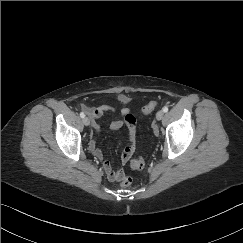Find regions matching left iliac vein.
I'll return each instance as SVG.
<instances>
[{"instance_id":"1","label":"left iliac vein","mask_w":243,"mask_h":243,"mask_svg":"<svg viewBox=\"0 0 243 243\" xmlns=\"http://www.w3.org/2000/svg\"><path fill=\"white\" fill-rule=\"evenodd\" d=\"M164 117V112L162 110H159L157 113H156V119L157 120H162ZM156 131V128L154 129Z\"/></svg>"}]
</instances>
